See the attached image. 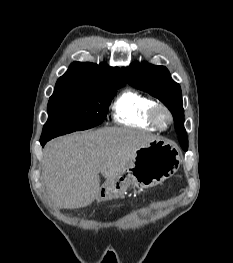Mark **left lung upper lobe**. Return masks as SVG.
Listing matches in <instances>:
<instances>
[{
	"instance_id": "5c2ea615",
	"label": "left lung upper lobe",
	"mask_w": 233,
	"mask_h": 263,
	"mask_svg": "<svg viewBox=\"0 0 233 263\" xmlns=\"http://www.w3.org/2000/svg\"><path fill=\"white\" fill-rule=\"evenodd\" d=\"M122 72L129 85L148 92L168 107L174 117L179 139H187L181 88L178 83L172 80L167 68L136 62L129 67L122 68Z\"/></svg>"
}]
</instances>
